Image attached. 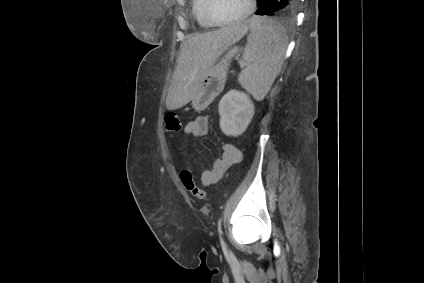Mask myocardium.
<instances>
[{
    "label": "myocardium",
    "mask_w": 424,
    "mask_h": 283,
    "mask_svg": "<svg viewBox=\"0 0 424 283\" xmlns=\"http://www.w3.org/2000/svg\"><path fill=\"white\" fill-rule=\"evenodd\" d=\"M213 2L214 0H205V7H204L206 19L213 26H227V25L239 23L247 19L254 12L256 7L255 0H248V8L242 15L232 20H219L213 15V12H212Z\"/></svg>",
    "instance_id": "1"
}]
</instances>
